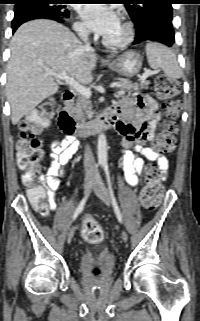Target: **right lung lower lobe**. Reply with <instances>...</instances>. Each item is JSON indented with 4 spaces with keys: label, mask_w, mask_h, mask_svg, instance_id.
I'll return each mask as SVG.
<instances>
[{
    "label": "right lung lower lobe",
    "mask_w": 200,
    "mask_h": 321,
    "mask_svg": "<svg viewBox=\"0 0 200 321\" xmlns=\"http://www.w3.org/2000/svg\"><path fill=\"white\" fill-rule=\"evenodd\" d=\"M42 18L55 20L59 23H65L68 20L47 10H40V9L21 10V11L15 12L14 14V19L12 20L13 33L21 24L33 19H42Z\"/></svg>",
    "instance_id": "98d812e1"
}]
</instances>
